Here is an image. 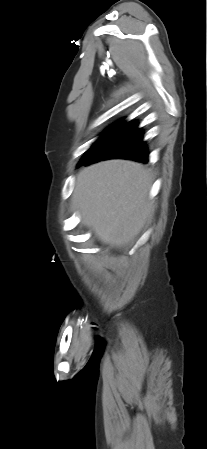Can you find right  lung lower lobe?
Returning <instances> with one entry per match:
<instances>
[{"label":"right lung lower lobe","instance_id":"right-lung-lower-lobe-1","mask_svg":"<svg viewBox=\"0 0 207 449\" xmlns=\"http://www.w3.org/2000/svg\"><path fill=\"white\" fill-rule=\"evenodd\" d=\"M124 158L141 162L148 161V152L143 142V132L138 128V123L128 124L119 133L113 136L95 154L81 162L78 166L112 159Z\"/></svg>","mask_w":207,"mask_h":449}]
</instances>
